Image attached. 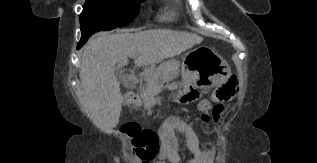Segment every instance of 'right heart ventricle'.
<instances>
[{"label": "right heart ventricle", "mask_w": 317, "mask_h": 163, "mask_svg": "<svg viewBox=\"0 0 317 163\" xmlns=\"http://www.w3.org/2000/svg\"><path fill=\"white\" fill-rule=\"evenodd\" d=\"M170 17H171L170 14H166V15L163 16V18H165V19H168V18H170Z\"/></svg>", "instance_id": "obj_1"}]
</instances>
